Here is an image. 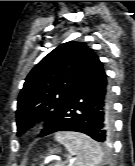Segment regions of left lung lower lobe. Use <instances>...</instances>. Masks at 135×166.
<instances>
[{"instance_id":"1","label":"left lung lower lobe","mask_w":135,"mask_h":166,"mask_svg":"<svg viewBox=\"0 0 135 166\" xmlns=\"http://www.w3.org/2000/svg\"><path fill=\"white\" fill-rule=\"evenodd\" d=\"M113 104L107 75L99 58L89 61L75 84L67 106L45 126L39 137L58 131H75L98 142H108L113 129ZM34 123L22 126L21 135Z\"/></svg>"}]
</instances>
